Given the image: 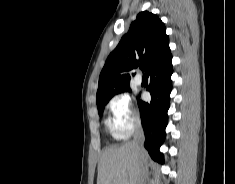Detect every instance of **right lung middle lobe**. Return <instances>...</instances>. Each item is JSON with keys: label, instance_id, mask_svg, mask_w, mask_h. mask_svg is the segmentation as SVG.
I'll use <instances>...</instances> for the list:
<instances>
[{"label": "right lung middle lobe", "instance_id": "1", "mask_svg": "<svg viewBox=\"0 0 235 184\" xmlns=\"http://www.w3.org/2000/svg\"><path fill=\"white\" fill-rule=\"evenodd\" d=\"M125 91H129V92L131 91L130 88H129V86L120 87V88L115 89V90L113 91L112 97H113L114 95H116V94H119V93H122V92H125ZM104 106H105V105L97 106V107H98V112H99V114L102 113V111H103V109H104Z\"/></svg>", "mask_w": 235, "mask_h": 184}]
</instances>
